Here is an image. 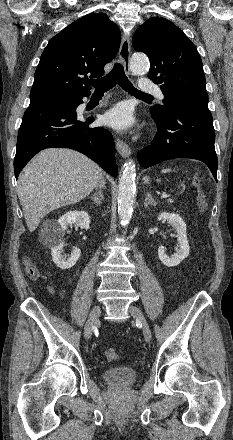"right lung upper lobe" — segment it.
I'll use <instances>...</instances> for the list:
<instances>
[{
    "mask_svg": "<svg viewBox=\"0 0 233 440\" xmlns=\"http://www.w3.org/2000/svg\"><path fill=\"white\" fill-rule=\"evenodd\" d=\"M120 40L119 28L104 13L88 14L71 23L43 51L30 103L90 95L87 75L94 78L104 74V66L117 54Z\"/></svg>",
    "mask_w": 233,
    "mask_h": 440,
    "instance_id": "cb5924a9",
    "label": "right lung upper lobe"
}]
</instances>
